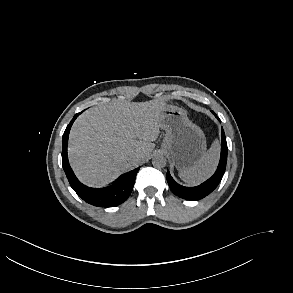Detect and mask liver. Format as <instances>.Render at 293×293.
I'll return each mask as SVG.
<instances>
[{
  "mask_svg": "<svg viewBox=\"0 0 293 293\" xmlns=\"http://www.w3.org/2000/svg\"><path fill=\"white\" fill-rule=\"evenodd\" d=\"M162 99L115 101L92 107L74 122L68 143L70 164L81 182L101 187L146 160L159 136ZM138 156V161H132Z\"/></svg>",
  "mask_w": 293,
  "mask_h": 293,
  "instance_id": "6515ba94",
  "label": "liver"
}]
</instances>
